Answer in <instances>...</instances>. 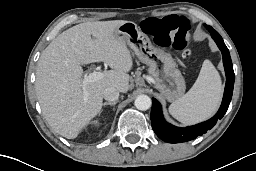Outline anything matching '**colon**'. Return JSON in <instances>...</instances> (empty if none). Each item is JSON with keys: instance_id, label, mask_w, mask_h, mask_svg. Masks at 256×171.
Returning a JSON list of instances; mask_svg holds the SVG:
<instances>
[{"instance_id": "colon-1", "label": "colon", "mask_w": 256, "mask_h": 171, "mask_svg": "<svg viewBox=\"0 0 256 171\" xmlns=\"http://www.w3.org/2000/svg\"><path fill=\"white\" fill-rule=\"evenodd\" d=\"M141 29L152 37L156 45L182 50L185 55L190 54L187 45L192 24L185 17L170 15L164 18H147L142 21Z\"/></svg>"}]
</instances>
